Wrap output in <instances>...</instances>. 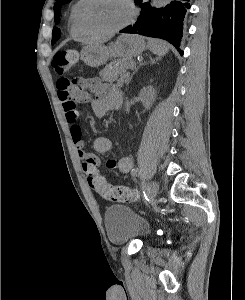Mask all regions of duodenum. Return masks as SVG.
I'll list each match as a JSON object with an SVG mask.
<instances>
[{
    "instance_id": "duodenum-1",
    "label": "duodenum",
    "mask_w": 245,
    "mask_h": 300,
    "mask_svg": "<svg viewBox=\"0 0 245 300\" xmlns=\"http://www.w3.org/2000/svg\"><path fill=\"white\" fill-rule=\"evenodd\" d=\"M122 104V96H118V99H117V108L120 107Z\"/></svg>"
}]
</instances>
